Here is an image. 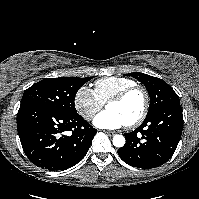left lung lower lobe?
<instances>
[{
    "instance_id": "obj_1",
    "label": "left lung lower lobe",
    "mask_w": 199,
    "mask_h": 199,
    "mask_svg": "<svg viewBox=\"0 0 199 199\" xmlns=\"http://www.w3.org/2000/svg\"><path fill=\"white\" fill-rule=\"evenodd\" d=\"M183 129L180 103L171 104L150 116L133 132L125 133L126 143L118 155L127 164L151 169L167 162L175 152Z\"/></svg>"
}]
</instances>
